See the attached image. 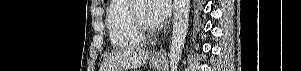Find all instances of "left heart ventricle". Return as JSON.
Instances as JSON below:
<instances>
[{
	"mask_svg": "<svg viewBox=\"0 0 301 71\" xmlns=\"http://www.w3.org/2000/svg\"><path fill=\"white\" fill-rule=\"evenodd\" d=\"M139 16L149 25L154 26L150 14L149 4L146 1H139L136 5Z\"/></svg>",
	"mask_w": 301,
	"mask_h": 71,
	"instance_id": "obj_1",
	"label": "left heart ventricle"
}]
</instances>
